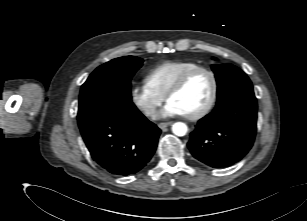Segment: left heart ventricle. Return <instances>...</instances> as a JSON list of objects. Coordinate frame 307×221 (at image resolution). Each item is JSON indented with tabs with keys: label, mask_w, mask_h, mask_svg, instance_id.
<instances>
[{
	"label": "left heart ventricle",
	"mask_w": 307,
	"mask_h": 221,
	"mask_svg": "<svg viewBox=\"0 0 307 221\" xmlns=\"http://www.w3.org/2000/svg\"><path fill=\"white\" fill-rule=\"evenodd\" d=\"M211 92V77L206 72H198L168 102L177 105L183 111L184 115H190L198 112L206 105L211 96Z\"/></svg>",
	"instance_id": "left-heart-ventricle-1"
}]
</instances>
